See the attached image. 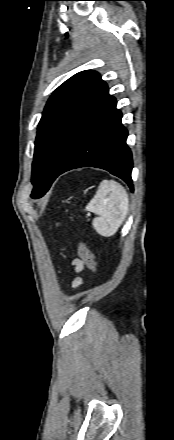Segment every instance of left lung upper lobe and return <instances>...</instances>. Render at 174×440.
<instances>
[{"instance_id": "5c2ea615", "label": "left lung upper lobe", "mask_w": 174, "mask_h": 440, "mask_svg": "<svg viewBox=\"0 0 174 440\" xmlns=\"http://www.w3.org/2000/svg\"><path fill=\"white\" fill-rule=\"evenodd\" d=\"M107 95V84L92 70L75 74L51 95L38 124L32 198H40L48 191L88 118Z\"/></svg>"}]
</instances>
